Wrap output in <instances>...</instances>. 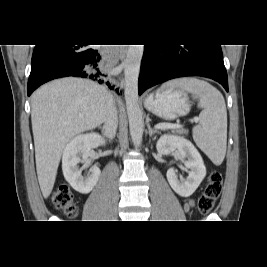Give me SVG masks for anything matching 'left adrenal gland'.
I'll use <instances>...</instances> for the list:
<instances>
[{
	"label": "left adrenal gland",
	"instance_id": "1",
	"mask_svg": "<svg viewBox=\"0 0 267 267\" xmlns=\"http://www.w3.org/2000/svg\"><path fill=\"white\" fill-rule=\"evenodd\" d=\"M149 117L147 118V127H148V134L149 136H152L153 134H159L160 132L158 130L152 129L149 124Z\"/></svg>",
	"mask_w": 267,
	"mask_h": 267
}]
</instances>
